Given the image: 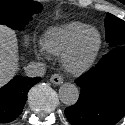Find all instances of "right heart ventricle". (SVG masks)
<instances>
[{
	"label": "right heart ventricle",
	"instance_id": "e07e8e85",
	"mask_svg": "<svg viewBox=\"0 0 125 125\" xmlns=\"http://www.w3.org/2000/svg\"><path fill=\"white\" fill-rule=\"evenodd\" d=\"M88 27V24L77 21L53 25L45 31L42 42L49 54L60 56L74 38Z\"/></svg>",
	"mask_w": 125,
	"mask_h": 125
}]
</instances>
